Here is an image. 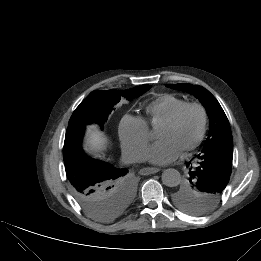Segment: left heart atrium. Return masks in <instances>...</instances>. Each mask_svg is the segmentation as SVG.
Segmentation results:
<instances>
[{
	"label": "left heart atrium",
	"mask_w": 261,
	"mask_h": 261,
	"mask_svg": "<svg viewBox=\"0 0 261 261\" xmlns=\"http://www.w3.org/2000/svg\"><path fill=\"white\" fill-rule=\"evenodd\" d=\"M178 146L171 140H159L154 143L145 153V158L157 165L168 164L180 155Z\"/></svg>",
	"instance_id": "left-heart-atrium-1"
}]
</instances>
